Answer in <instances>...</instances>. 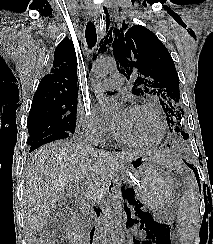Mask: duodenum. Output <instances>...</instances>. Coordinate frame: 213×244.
<instances>
[{"instance_id":"duodenum-1","label":"duodenum","mask_w":213,"mask_h":244,"mask_svg":"<svg viewBox=\"0 0 213 244\" xmlns=\"http://www.w3.org/2000/svg\"><path fill=\"white\" fill-rule=\"evenodd\" d=\"M94 217L96 220H100L101 217L98 213H96L94 211ZM99 236H100V230L97 229V228H93L91 231H90V242L89 244H99Z\"/></svg>"}]
</instances>
